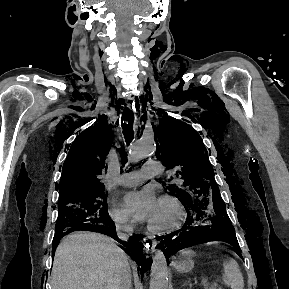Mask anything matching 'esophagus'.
I'll return each mask as SVG.
<instances>
[{"mask_svg":"<svg viewBox=\"0 0 289 289\" xmlns=\"http://www.w3.org/2000/svg\"><path fill=\"white\" fill-rule=\"evenodd\" d=\"M128 107L134 108V104L129 102ZM144 242H145L147 248H150L152 251H155L156 246H157V241L152 236H146L144 238Z\"/></svg>","mask_w":289,"mask_h":289,"instance_id":"esophagus-1","label":"esophagus"}]
</instances>
